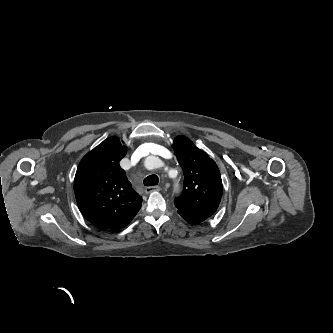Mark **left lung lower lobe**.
<instances>
[{
    "label": "left lung lower lobe",
    "mask_w": 333,
    "mask_h": 333,
    "mask_svg": "<svg viewBox=\"0 0 333 333\" xmlns=\"http://www.w3.org/2000/svg\"><path fill=\"white\" fill-rule=\"evenodd\" d=\"M178 213L180 214V216L184 220H186L190 224H197V223H200V222H202V221H204V220L207 219V218L202 217V216L188 214V213H185V212H182V211H179V210H178Z\"/></svg>",
    "instance_id": "0a47b994"
}]
</instances>
